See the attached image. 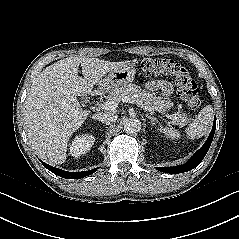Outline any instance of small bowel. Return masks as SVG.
Listing matches in <instances>:
<instances>
[{"label":"small bowel","instance_id":"c3829d8e","mask_svg":"<svg viewBox=\"0 0 239 239\" xmlns=\"http://www.w3.org/2000/svg\"><path fill=\"white\" fill-rule=\"evenodd\" d=\"M148 87L152 90H159L163 95H169L172 92V85L164 80L152 81Z\"/></svg>","mask_w":239,"mask_h":239}]
</instances>
